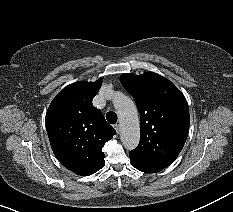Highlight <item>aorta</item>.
<instances>
[{"mask_svg":"<svg viewBox=\"0 0 233 212\" xmlns=\"http://www.w3.org/2000/svg\"><path fill=\"white\" fill-rule=\"evenodd\" d=\"M114 107L120 123V138L128 150L135 149L140 140L139 117L134 102L122 93H114Z\"/></svg>","mask_w":233,"mask_h":212,"instance_id":"762f6f07","label":"aorta"}]
</instances>
